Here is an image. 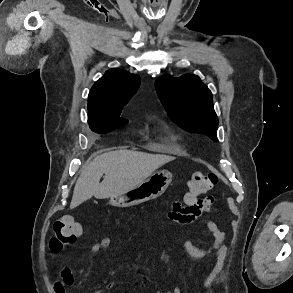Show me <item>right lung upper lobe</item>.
<instances>
[{
    "label": "right lung upper lobe",
    "instance_id": "obj_1",
    "mask_svg": "<svg viewBox=\"0 0 293 293\" xmlns=\"http://www.w3.org/2000/svg\"><path fill=\"white\" fill-rule=\"evenodd\" d=\"M139 84L140 77L136 74L118 68L107 71L90 90L88 118L121 113Z\"/></svg>",
    "mask_w": 293,
    "mask_h": 293
}]
</instances>
